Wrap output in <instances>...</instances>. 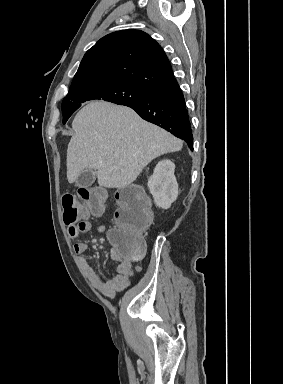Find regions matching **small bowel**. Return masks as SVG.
Segmentation results:
<instances>
[{"label": "small bowel", "instance_id": "1", "mask_svg": "<svg viewBox=\"0 0 283 384\" xmlns=\"http://www.w3.org/2000/svg\"><path fill=\"white\" fill-rule=\"evenodd\" d=\"M92 229V224L84 220L76 226H69V236L71 239H78L81 234L90 232ZM96 230L102 233L105 231V227L98 226L96 227ZM73 249L82 270L86 274L92 286L107 297H114L117 292L128 287L130 279L134 273L139 270V268H135L133 266L131 261L122 259L113 248L111 249V257L118 262L116 275L104 280L100 275L93 271L85 257L88 249L87 244L83 241H77L74 244Z\"/></svg>", "mask_w": 283, "mask_h": 384}]
</instances>
